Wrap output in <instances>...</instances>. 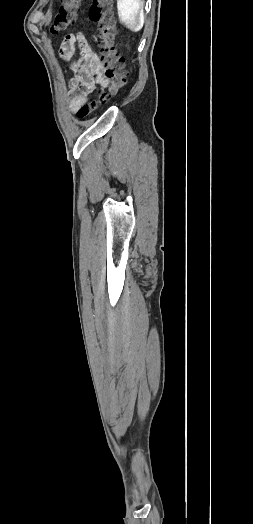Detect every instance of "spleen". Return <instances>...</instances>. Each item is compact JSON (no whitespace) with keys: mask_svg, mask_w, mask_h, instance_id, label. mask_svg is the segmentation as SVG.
Segmentation results:
<instances>
[{"mask_svg":"<svg viewBox=\"0 0 253 524\" xmlns=\"http://www.w3.org/2000/svg\"><path fill=\"white\" fill-rule=\"evenodd\" d=\"M118 15L121 23L130 31L138 32L144 25L141 14V0H117Z\"/></svg>","mask_w":253,"mask_h":524,"instance_id":"spleen-1","label":"spleen"}]
</instances>
